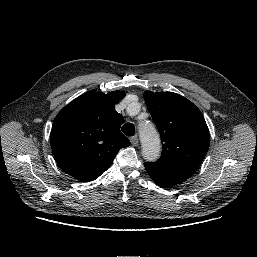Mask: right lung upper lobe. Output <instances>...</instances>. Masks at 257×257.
Returning a JSON list of instances; mask_svg holds the SVG:
<instances>
[{
  "instance_id": "1",
  "label": "right lung upper lobe",
  "mask_w": 257,
  "mask_h": 257,
  "mask_svg": "<svg viewBox=\"0 0 257 257\" xmlns=\"http://www.w3.org/2000/svg\"><path fill=\"white\" fill-rule=\"evenodd\" d=\"M122 91L87 92L65 106L55 117L50 136L54 157L70 176L89 182L112 164L130 142L120 132L124 119L114 106Z\"/></svg>"
}]
</instances>
